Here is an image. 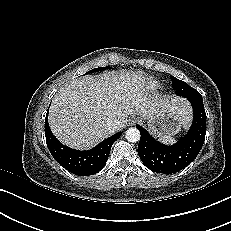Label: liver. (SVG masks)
<instances>
[{
    "label": "liver",
    "mask_w": 231,
    "mask_h": 231,
    "mask_svg": "<svg viewBox=\"0 0 231 231\" xmlns=\"http://www.w3.org/2000/svg\"><path fill=\"white\" fill-rule=\"evenodd\" d=\"M168 108L179 115L180 125L189 124L191 107L183 98L154 101L142 73L108 72L79 77L61 87L52 100L48 120L60 142L83 150L114 134L108 129L114 119L124 124L129 115L146 119Z\"/></svg>",
    "instance_id": "obj_1"
}]
</instances>
